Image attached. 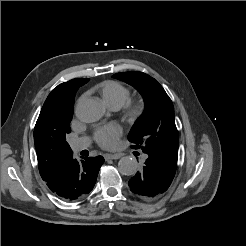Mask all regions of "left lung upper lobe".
Segmentation results:
<instances>
[{
  "label": "left lung upper lobe",
  "instance_id": "1",
  "mask_svg": "<svg viewBox=\"0 0 246 246\" xmlns=\"http://www.w3.org/2000/svg\"><path fill=\"white\" fill-rule=\"evenodd\" d=\"M113 78L135 87L143 96L145 110L128 135L132 148L153 152L177 163L179 135L174 120L171 99L163 87L142 72H121Z\"/></svg>",
  "mask_w": 246,
  "mask_h": 246
}]
</instances>
